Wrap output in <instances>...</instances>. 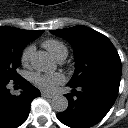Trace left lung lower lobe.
<instances>
[{
  "label": "left lung lower lobe",
  "instance_id": "0a47b994",
  "mask_svg": "<svg viewBox=\"0 0 128 128\" xmlns=\"http://www.w3.org/2000/svg\"><path fill=\"white\" fill-rule=\"evenodd\" d=\"M120 80L118 74L96 73L81 84H68L73 88L65 95L69 105L57 118L71 128H89L99 123L117 98Z\"/></svg>",
  "mask_w": 128,
  "mask_h": 128
}]
</instances>
